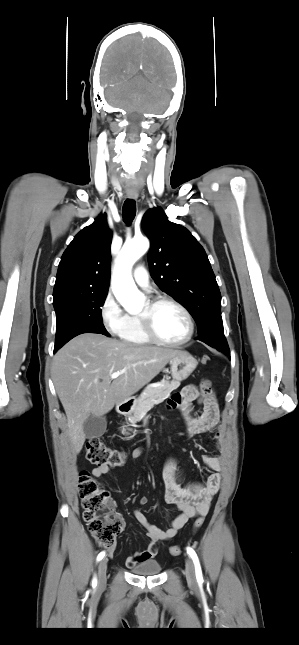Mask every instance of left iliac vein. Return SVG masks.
Segmentation results:
<instances>
[{
    "instance_id": "4c4485c4",
    "label": "left iliac vein",
    "mask_w": 299,
    "mask_h": 645,
    "mask_svg": "<svg viewBox=\"0 0 299 645\" xmlns=\"http://www.w3.org/2000/svg\"><path fill=\"white\" fill-rule=\"evenodd\" d=\"M184 574L186 576L187 581L190 584H196V574H195V568H194V563L191 558H187L185 561V570Z\"/></svg>"
}]
</instances>
